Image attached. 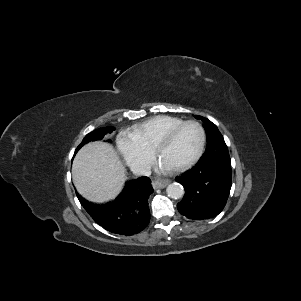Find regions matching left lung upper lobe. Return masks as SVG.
I'll return each instance as SVG.
<instances>
[{
    "label": "left lung upper lobe",
    "mask_w": 301,
    "mask_h": 301,
    "mask_svg": "<svg viewBox=\"0 0 301 301\" xmlns=\"http://www.w3.org/2000/svg\"><path fill=\"white\" fill-rule=\"evenodd\" d=\"M195 117L197 119H201L204 122V129L206 131L207 137L206 151L198 162H204L214 159L231 162L227 145L217 126L207 118H203L201 116Z\"/></svg>",
    "instance_id": "1"
}]
</instances>
